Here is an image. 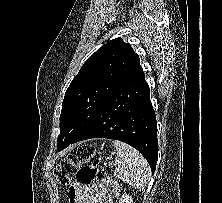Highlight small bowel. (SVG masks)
I'll return each instance as SVG.
<instances>
[{
    "mask_svg": "<svg viewBox=\"0 0 222 203\" xmlns=\"http://www.w3.org/2000/svg\"><path fill=\"white\" fill-rule=\"evenodd\" d=\"M72 203H112L110 192L101 185L74 183L69 191Z\"/></svg>",
    "mask_w": 222,
    "mask_h": 203,
    "instance_id": "c3829d8e",
    "label": "small bowel"
}]
</instances>
